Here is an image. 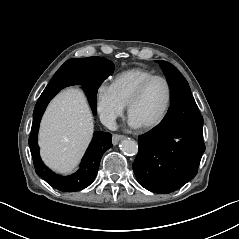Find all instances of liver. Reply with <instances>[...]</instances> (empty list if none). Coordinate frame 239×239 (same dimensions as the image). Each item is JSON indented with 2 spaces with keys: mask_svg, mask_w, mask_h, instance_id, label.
Instances as JSON below:
<instances>
[{
  "mask_svg": "<svg viewBox=\"0 0 239 239\" xmlns=\"http://www.w3.org/2000/svg\"><path fill=\"white\" fill-rule=\"evenodd\" d=\"M93 130V116L83 92L68 88L59 93L49 103L40 124L38 143L44 163L58 173H72Z\"/></svg>",
  "mask_w": 239,
  "mask_h": 239,
  "instance_id": "obj_1",
  "label": "liver"
}]
</instances>
